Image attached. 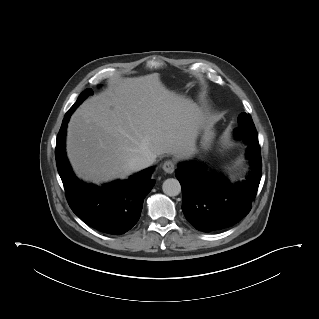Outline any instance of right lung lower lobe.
<instances>
[{"mask_svg": "<svg viewBox=\"0 0 319 319\" xmlns=\"http://www.w3.org/2000/svg\"><path fill=\"white\" fill-rule=\"evenodd\" d=\"M75 109L70 108L65 114L55 150L57 169L67 201L73 212L87 225L107 234H124L140 218L143 200L155 183L151 179L153 168L145 169L128 180H118L103 187L79 181L65 153L66 127Z\"/></svg>", "mask_w": 319, "mask_h": 319, "instance_id": "98d812e1", "label": "right lung lower lobe"}]
</instances>
